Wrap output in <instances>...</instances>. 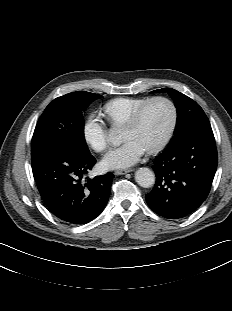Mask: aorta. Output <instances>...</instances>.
I'll return each mask as SVG.
<instances>
[{
    "mask_svg": "<svg viewBox=\"0 0 232 311\" xmlns=\"http://www.w3.org/2000/svg\"><path fill=\"white\" fill-rule=\"evenodd\" d=\"M110 140L114 143L117 138L111 133ZM135 180L141 187L149 188L155 183V175L149 168L142 167L135 172Z\"/></svg>",
    "mask_w": 232,
    "mask_h": 311,
    "instance_id": "762f6f07",
    "label": "aorta"
}]
</instances>
